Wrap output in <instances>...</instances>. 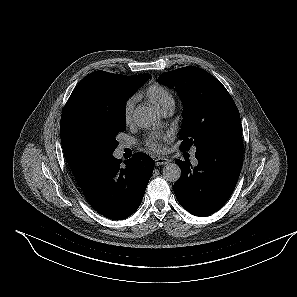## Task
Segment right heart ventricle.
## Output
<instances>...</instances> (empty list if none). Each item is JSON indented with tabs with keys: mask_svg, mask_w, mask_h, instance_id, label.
Here are the masks:
<instances>
[{
	"mask_svg": "<svg viewBox=\"0 0 297 297\" xmlns=\"http://www.w3.org/2000/svg\"><path fill=\"white\" fill-rule=\"evenodd\" d=\"M147 99L158 107L160 111L168 105L174 104V98L171 92L158 84H151L145 90Z\"/></svg>",
	"mask_w": 297,
	"mask_h": 297,
	"instance_id": "right-heart-ventricle-1",
	"label": "right heart ventricle"
}]
</instances>
